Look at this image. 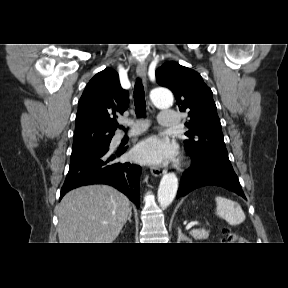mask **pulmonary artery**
<instances>
[{
  "instance_id": "pulmonary-artery-1",
  "label": "pulmonary artery",
  "mask_w": 288,
  "mask_h": 288,
  "mask_svg": "<svg viewBox=\"0 0 288 288\" xmlns=\"http://www.w3.org/2000/svg\"><path fill=\"white\" fill-rule=\"evenodd\" d=\"M179 121V114L173 110H167L164 109L160 112L159 115V125L162 127H167V128H175L178 125ZM144 123H136L133 125V127L127 132V135H136L142 132L145 128ZM124 136L123 133L118 134L116 136V140H120Z\"/></svg>"
}]
</instances>
